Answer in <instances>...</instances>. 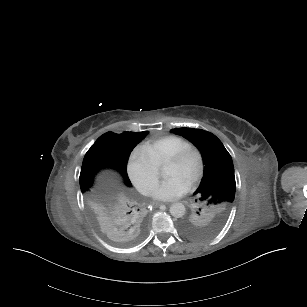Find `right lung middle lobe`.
<instances>
[{"instance_id": "dd1d6c3e", "label": "right lung middle lobe", "mask_w": 307, "mask_h": 307, "mask_svg": "<svg viewBox=\"0 0 307 307\" xmlns=\"http://www.w3.org/2000/svg\"><path fill=\"white\" fill-rule=\"evenodd\" d=\"M107 166L108 162L106 158L90 148L82 163L79 179L81 191L83 192L88 189L92 185L96 173L103 168H107Z\"/></svg>"}]
</instances>
